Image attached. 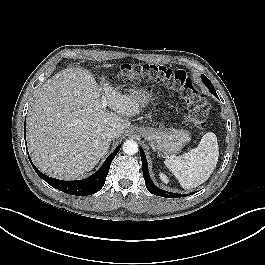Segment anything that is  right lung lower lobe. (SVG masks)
I'll return each instance as SVG.
<instances>
[{"mask_svg": "<svg viewBox=\"0 0 265 265\" xmlns=\"http://www.w3.org/2000/svg\"><path fill=\"white\" fill-rule=\"evenodd\" d=\"M24 135H25V129H24ZM119 150H120V145L115 149V151L111 155H109V157L105 160L102 167L96 173H94L93 175H91L90 177L84 180H77V181H63L45 176L35 167V165L32 163L30 158L29 160L36 173L52 187L72 195L86 196L99 191L103 187L107 174L110 169L111 162Z\"/></svg>", "mask_w": 265, "mask_h": 265, "instance_id": "1", "label": "right lung lower lobe"}]
</instances>
